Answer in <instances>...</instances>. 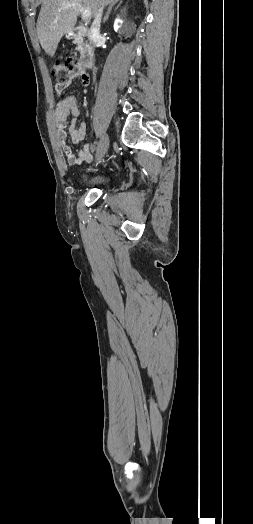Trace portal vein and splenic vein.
Returning <instances> with one entry per match:
<instances>
[{
	"instance_id": "18ae733b",
	"label": "portal vein and splenic vein",
	"mask_w": 253,
	"mask_h": 524,
	"mask_svg": "<svg viewBox=\"0 0 253 524\" xmlns=\"http://www.w3.org/2000/svg\"><path fill=\"white\" fill-rule=\"evenodd\" d=\"M69 7H76L78 9V11L82 13V19L83 20H88L91 17L90 9L88 7L83 6L79 2L68 3V4L64 5L62 8L66 9V8H69Z\"/></svg>"
}]
</instances>
